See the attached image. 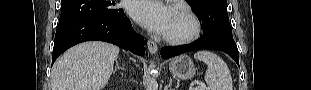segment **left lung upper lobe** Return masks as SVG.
I'll list each match as a JSON object with an SVG mask.
<instances>
[{
    "mask_svg": "<svg viewBox=\"0 0 311 90\" xmlns=\"http://www.w3.org/2000/svg\"><path fill=\"white\" fill-rule=\"evenodd\" d=\"M203 25V36L220 35L233 38L226 0H188Z\"/></svg>",
    "mask_w": 311,
    "mask_h": 90,
    "instance_id": "5c2ea615",
    "label": "left lung upper lobe"
}]
</instances>
